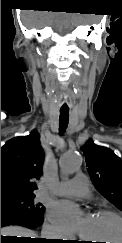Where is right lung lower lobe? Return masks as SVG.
<instances>
[{"label": "right lung lower lobe", "instance_id": "obj_1", "mask_svg": "<svg viewBox=\"0 0 122 243\" xmlns=\"http://www.w3.org/2000/svg\"><path fill=\"white\" fill-rule=\"evenodd\" d=\"M43 215L38 216L33 213L14 208H1V227L8 225H21L28 228H35L42 224ZM24 243H54L43 239H22Z\"/></svg>", "mask_w": 122, "mask_h": 243}]
</instances>
